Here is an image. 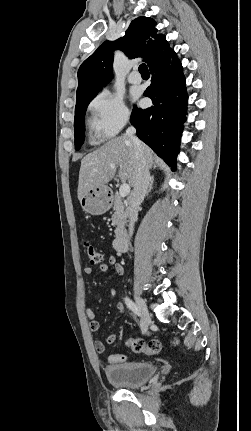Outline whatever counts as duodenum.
<instances>
[{
	"mask_svg": "<svg viewBox=\"0 0 251 431\" xmlns=\"http://www.w3.org/2000/svg\"><path fill=\"white\" fill-rule=\"evenodd\" d=\"M113 246L118 252H126L129 247L127 234L125 232L119 233L113 241Z\"/></svg>",
	"mask_w": 251,
	"mask_h": 431,
	"instance_id": "1",
	"label": "duodenum"
}]
</instances>
